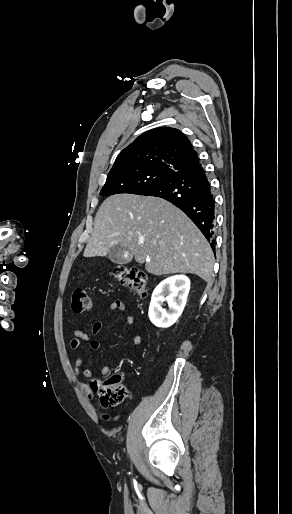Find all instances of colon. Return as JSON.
Wrapping results in <instances>:
<instances>
[{"label": "colon", "mask_w": 292, "mask_h": 514, "mask_svg": "<svg viewBox=\"0 0 292 514\" xmlns=\"http://www.w3.org/2000/svg\"><path fill=\"white\" fill-rule=\"evenodd\" d=\"M139 265L131 267L116 266L111 272V276L121 285H128L131 292L135 295L145 297L147 294V276L140 272ZM90 307L89 297L83 288H76L73 293L72 310L80 314L88 311ZM92 389L96 393L97 401L103 408H110L118 405L127 397V390L122 385L117 374H109L106 377L95 379ZM104 419L109 417L107 412L102 414Z\"/></svg>", "instance_id": "colon-1"}]
</instances>
